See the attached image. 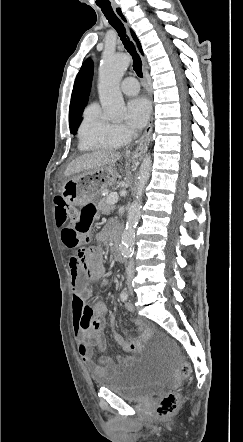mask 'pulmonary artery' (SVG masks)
Returning a JSON list of instances; mask_svg holds the SVG:
<instances>
[{
	"label": "pulmonary artery",
	"mask_w": 243,
	"mask_h": 442,
	"mask_svg": "<svg viewBox=\"0 0 243 442\" xmlns=\"http://www.w3.org/2000/svg\"><path fill=\"white\" fill-rule=\"evenodd\" d=\"M121 90L126 95H136L139 91L138 81L134 77H127L121 83Z\"/></svg>",
	"instance_id": "e3ab8cb5"
}]
</instances>
